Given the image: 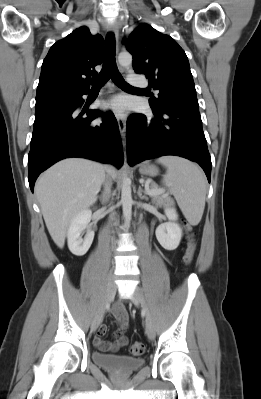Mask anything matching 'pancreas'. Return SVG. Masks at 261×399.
Here are the masks:
<instances>
[{
	"label": "pancreas",
	"mask_w": 261,
	"mask_h": 399,
	"mask_svg": "<svg viewBox=\"0 0 261 399\" xmlns=\"http://www.w3.org/2000/svg\"><path fill=\"white\" fill-rule=\"evenodd\" d=\"M150 189L151 190H155V191H159L160 190L158 188V185L156 183H154V182H151ZM151 197L153 198V200H156V201L172 203L171 199L169 197H167L166 195H162V193H160V194L157 193L155 195H151Z\"/></svg>",
	"instance_id": "obj_1"
}]
</instances>
